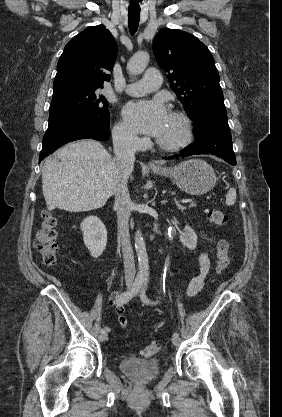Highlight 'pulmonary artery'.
I'll return each mask as SVG.
<instances>
[{"label":"pulmonary artery","instance_id":"pulmonary-artery-1","mask_svg":"<svg viewBox=\"0 0 282 417\" xmlns=\"http://www.w3.org/2000/svg\"><path fill=\"white\" fill-rule=\"evenodd\" d=\"M160 70H145L144 76L135 83L128 84L125 92L131 96H141L158 89L161 85Z\"/></svg>","mask_w":282,"mask_h":417}]
</instances>
